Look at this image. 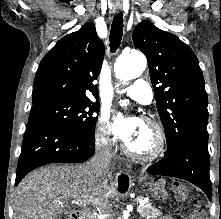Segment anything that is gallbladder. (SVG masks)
I'll list each match as a JSON object with an SVG mask.
<instances>
[{
  "mask_svg": "<svg viewBox=\"0 0 221 219\" xmlns=\"http://www.w3.org/2000/svg\"><path fill=\"white\" fill-rule=\"evenodd\" d=\"M68 210H69L68 208L64 209V210H63V213H66Z\"/></svg>",
  "mask_w": 221,
  "mask_h": 219,
  "instance_id": "1",
  "label": "gallbladder"
}]
</instances>
